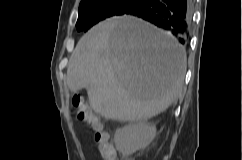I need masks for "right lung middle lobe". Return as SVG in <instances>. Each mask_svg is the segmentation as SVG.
<instances>
[{"label":"right lung middle lobe","mask_w":242,"mask_h":160,"mask_svg":"<svg viewBox=\"0 0 242 160\" xmlns=\"http://www.w3.org/2000/svg\"><path fill=\"white\" fill-rule=\"evenodd\" d=\"M141 0H82L76 23L78 31L86 32L93 25L111 16L125 14Z\"/></svg>","instance_id":"dd1d6c3e"}]
</instances>
